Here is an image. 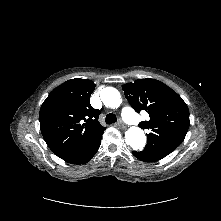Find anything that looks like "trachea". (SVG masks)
Instances as JSON below:
<instances>
[{
	"label": "trachea",
	"instance_id": "1",
	"mask_svg": "<svg viewBox=\"0 0 221 221\" xmlns=\"http://www.w3.org/2000/svg\"><path fill=\"white\" fill-rule=\"evenodd\" d=\"M116 121H117V117L114 114L109 113L106 115V118H105L106 124H112Z\"/></svg>",
	"mask_w": 221,
	"mask_h": 221
}]
</instances>
